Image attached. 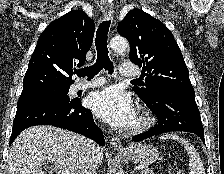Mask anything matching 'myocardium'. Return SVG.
I'll list each match as a JSON object with an SVG mask.
<instances>
[{
    "mask_svg": "<svg viewBox=\"0 0 224 174\" xmlns=\"http://www.w3.org/2000/svg\"><path fill=\"white\" fill-rule=\"evenodd\" d=\"M151 121L148 112L141 108L136 115L135 122L127 128V131L132 134L145 131L151 125Z\"/></svg>",
    "mask_w": 224,
    "mask_h": 174,
    "instance_id": "1",
    "label": "myocardium"
}]
</instances>
